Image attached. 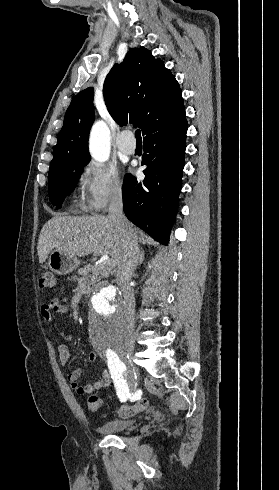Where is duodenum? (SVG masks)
<instances>
[{
    "label": "duodenum",
    "mask_w": 279,
    "mask_h": 490,
    "mask_svg": "<svg viewBox=\"0 0 279 490\" xmlns=\"http://www.w3.org/2000/svg\"><path fill=\"white\" fill-rule=\"evenodd\" d=\"M95 291V287L94 286H91V287H88L86 290H85V293H84V296L86 298H89L93 292Z\"/></svg>",
    "instance_id": "410a0bca"
}]
</instances>
